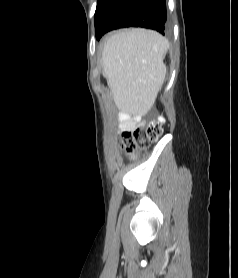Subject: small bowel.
Listing matches in <instances>:
<instances>
[{
	"label": "small bowel",
	"mask_w": 238,
	"mask_h": 278,
	"mask_svg": "<svg viewBox=\"0 0 238 278\" xmlns=\"http://www.w3.org/2000/svg\"><path fill=\"white\" fill-rule=\"evenodd\" d=\"M120 129L122 131H132L137 125L143 126L145 122L137 114L130 115L127 113H120L118 116Z\"/></svg>",
	"instance_id": "small-bowel-1"
}]
</instances>
